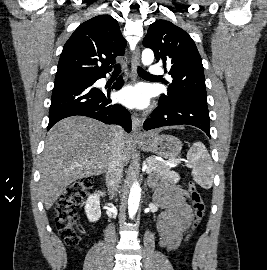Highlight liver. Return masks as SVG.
<instances>
[{"label": "liver", "instance_id": "obj_1", "mask_svg": "<svg viewBox=\"0 0 267 270\" xmlns=\"http://www.w3.org/2000/svg\"><path fill=\"white\" fill-rule=\"evenodd\" d=\"M154 130L148 135L158 134ZM114 127L84 116L56 123L48 132L40 162L39 189L50 209L64 189L78 179L104 173L112 154ZM132 138H121L122 165L131 158Z\"/></svg>", "mask_w": 267, "mask_h": 270}]
</instances>
